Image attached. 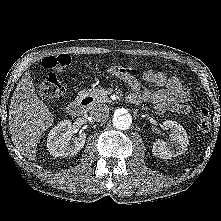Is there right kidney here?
Instances as JSON below:
<instances>
[{
  "label": "right kidney",
  "mask_w": 221,
  "mask_h": 221,
  "mask_svg": "<svg viewBox=\"0 0 221 221\" xmlns=\"http://www.w3.org/2000/svg\"><path fill=\"white\" fill-rule=\"evenodd\" d=\"M72 131L70 120H63L53 127L47 137V148L52 156H73L83 148L86 134L82 133L72 139Z\"/></svg>",
  "instance_id": "ca27d5eb"
}]
</instances>
